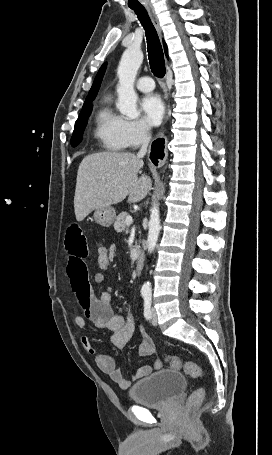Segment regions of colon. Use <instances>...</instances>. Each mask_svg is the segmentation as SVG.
Returning a JSON list of instances; mask_svg holds the SVG:
<instances>
[{"label": "colon", "mask_w": 272, "mask_h": 455, "mask_svg": "<svg viewBox=\"0 0 272 455\" xmlns=\"http://www.w3.org/2000/svg\"><path fill=\"white\" fill-rule=\"evenodd\" d=\"M110 263L111 259L109 256L108 248L105 245L100 244L97 258L98 272L95 275V280L97 282L104 281L105 274L109 269ZM168 361L173 369L183 370L187 375L191 376L192 378L202 379L204 376L202 368L195 364L194 362L191 361L183 362L177 356L169 357ZM203 397H204L203 388H197L196 390H194L187 400L186 405L187 413H192L194 409L201 403Z\"/></svg>", "instance_id": "colon-1"}]
</instances>
